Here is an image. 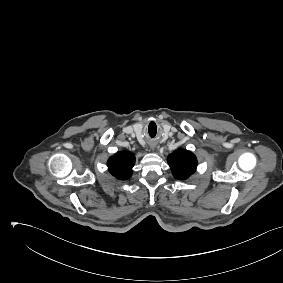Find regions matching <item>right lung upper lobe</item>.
<instances>
[{
	"instance_id": "1",
	"label": "right lung upper lobe",
	"mask_w": 283,
	"mask_h": 283,
	"mask_svg": "<svg viewBox=\"0 0 283 283\" xmlns=\"http://www.w3.org/2000/svg\"><path fill=\"white\" fill-rule=\"evenodd\" d=\"M134 164L135 156L128 151L116 153L107 162L110 173L119 180H127L131 177Z\"/></svg>"
}]
</instances>
